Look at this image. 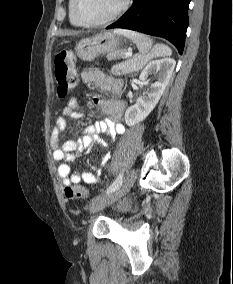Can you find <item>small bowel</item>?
Returning a JSON list of instances; mask_svg holds the SVG:
<instances>
[{"mask_svg":"<svg viewBox=\"0 0 233 284\" xmlns=\"http://www.w3.org/2000/svg\"><path fill=\"white\" fill-rule=\"evenodd\" d=\"M81 80L84 84L97 86L112 98L92 97V103L99 106L107 118L85 127L81 137L76 140L64 141L63 132L66 129V117L79 119L82 116V113L78 110V100L76 98L69 99L62 109L61 115L57 117L51 133V147L54 160L61 162L57 168V174L66 187L75 186L81 182L96 183L99 180L100 170H96L95 173L72 172L69 163L90 148L97 141L99 134L104 133L115 137L125 132V127L121 123L123 103L114 99L121 92L122 82L107 77L98 70L82 72ZM109 159L110 152H107L102 159L101 165L104 166Z\"/></svg>","mask_w":233,"mask_h":284,"instance_id":"1","label":"small bowel"}]
</instances>
